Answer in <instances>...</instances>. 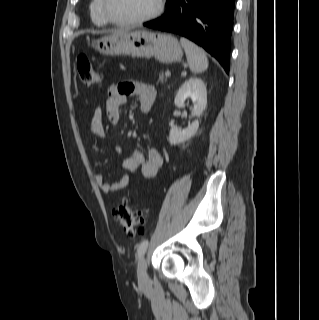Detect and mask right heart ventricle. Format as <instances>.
<instances>
[{"mask_svg": "<svg viewBox=\"0 0 319 320\" xmlns=\"http://www.w3.org/2000/svg\"><path fill=\"white\" fill-rule=\"evenodd\" d=\"M90 14L92 21L98 26H105L109 22L105 19L102 8L101 0H92L90 3Z\"/></svg>", "mask_w": 319, "mask_h": 320, "instance_id": "right-heart-ventricle-1", "label": "right heart ventricle"}]
</instances>
